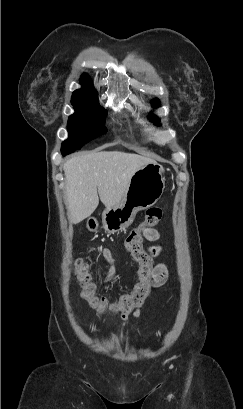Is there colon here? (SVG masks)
<instances>
[{"instance_id": "5ec220e1", "label": "colon", "mask_w": 243, "mask_h": 409, "mask_svg": "<svg viewBox=\"0 0 243 409\" xmlns=\"http://www.w3.org/2000/svg\"><path fill=\"white\" fill-rule=\"evenodd\" d=\"M162 217V209L159 206H153L147 209L144 221L136 228L132 229L126 236L124 245L132 256L138 259L144 258L142 249L143 231L154 227ZM75 276L82 288V295L90 301L93 307L98 310H109L112 312H121L128 310L132 306L140 305L146 299L148 290L143 286H136L134 290L121 297L119 300L109 303L104 298L95 296V286L91 282V276L87 264L83 260H76ZM145 272H148L146 268Z\"/></svg>"}]
</instances>
